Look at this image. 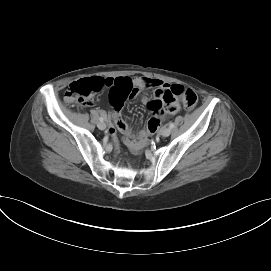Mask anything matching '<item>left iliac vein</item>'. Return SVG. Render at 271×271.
<instances>
[{
  "instance_id": "4c4485c4",
  "label": "left iliac vein",
  "mask_w": 271,
  "mask_h": 271,
  "mask_svg": "<svg viewBox=\"0 0 271 271\" xmlns=\"http://www.w3.org/2000/svg\"><path fill=\"white\" fill-rule=\"evenodd\" d=\"M160 133L163 137H168L171 134V128H163Z\"/></svg>"
}]
</instances>
